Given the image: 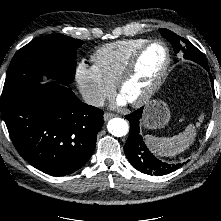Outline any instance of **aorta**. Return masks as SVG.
<instances>
[{"label": "aorta", "mask_w": 221, "mask_h": 221, "mask_svg": "<svg viewBox=\"0 0 221 221\" xmlns=\"http://www.w3.org/2000/svg\"><path fill=\"white\" fill-rule=\"evenodd\" d=\"M107 129L110 134L116 137L125 136L129 131V125L122 118H113L107 124Z\"/></svg>", "instance_id": "aorta-1"}]
</instances>
